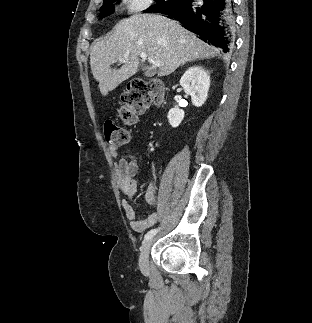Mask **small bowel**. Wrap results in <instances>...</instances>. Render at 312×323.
<instances>
[{"instance_id":"obj_1","label":"small bowel","mask_w":312,"mask_h":323,"mask_svg":"<svg viewBox=\"0 0 312 323\" xmlns=\"http://www.w3.org/2000/svg\"><path fill=\"white\" fill-rule=\"evenodd\" d=\"M110 154L113 158L118 157L116 148L110 149ZM139 166L135 159L119 158L116 163V178L120 191L125 195L122 200V208L129 220L131 228L136 232H143L149 227L153 226L160 218V213L156 210H151L147 217L139 218L132 202L137 194L136 176L138 174ZM145 197L150 209L157 206L156 186L150 183L145 191Z\"/></svg>"}]
</instances>
